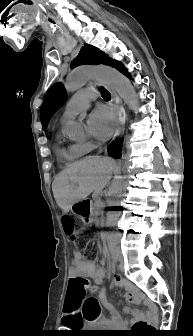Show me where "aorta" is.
I'll return each instance as SVG.
<instances>
[{"label":"aorta","instance_id":"obj_1","mask_svg":"<svg viewBox=\"0 0 193 336\" xmlns=\"http://www.w3.org/2000/svg\"><path fill=\"white\" fill-rule=\"evenodd\" d=\"M100 79L109 84L123 99V101L132 110L139 107V101L136 91L130 81L119 73L116 69L104 66H79L75 68L67 77L65 89L67 92H74L84 86L91 79ZM67 134L73 141H78L84 136V129L81 123L70 121L67 124ZM122 191V182L120 178H116L111 185L110 206L119 204V196Z\"/></svg>","mask_w":193,"mask_h":336}]
</instances>
